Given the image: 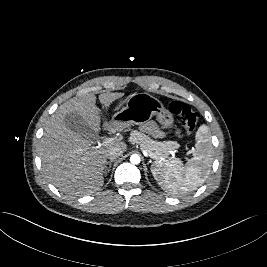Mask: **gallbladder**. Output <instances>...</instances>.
<instances>
[{
    "label": "gallbladder",
    "instance_id": "1",
    "mask_svg": "<svg viewBox=\"0 0 267 267\" xmlns=\"http://www.w3.org/2000/svg\"><path fill=\"white\" fill-rule=\"evenodd\" d=\"M66 126L75 134L82 138L93 140L98 137L97 133L92 130L87 123L76 113H69L65 116Z\"/></svg>",
    "mask_w": 267,
    "mask_h": 267
}]
</instances>
